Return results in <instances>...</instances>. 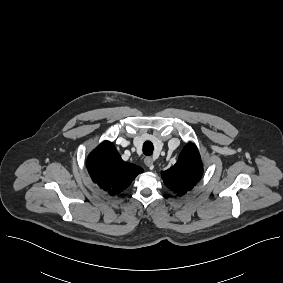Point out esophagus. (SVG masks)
<instances>
[{
  "label": "esophagus",
  "instance_id": "1",
  "mask_svg": "<svg viewBox=\"0 0 283 283\" xmlns=\"http://www.w3.org/2000/svg\"><path fill=\"white\" fill-rule=\"evenodd\" d=\"M144 163L149 169H152L154 167V160L151 157H146L144 159Z\"/></svg>",
  "mask_w": 283,
  "mask_h": 283
}]
</instances>
